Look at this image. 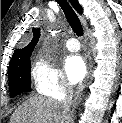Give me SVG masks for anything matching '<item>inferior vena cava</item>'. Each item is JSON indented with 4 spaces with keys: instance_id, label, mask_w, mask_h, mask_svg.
<instances>
[{
    "instance_id": "1",
    "label": "inferior vena cava",
    "mask_w": 122,
    "mask_h": 123,
    "mask_svg": "<svg viewBox=\"0 0 122 123\" xmlns=\"http://www.w3.org/2000/svg\"><path fill=\"white\" fill-rule=\"evenodd\" d=\"M72 99H73V87L70 84L65 83L64 98L59 100V104L64 114L70 113V106L72 104Z\"/></svg>"
}]
</instances>
